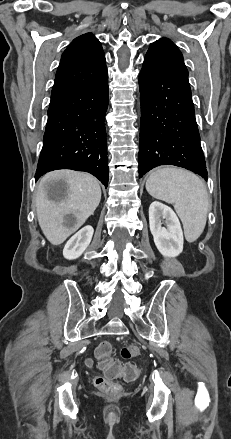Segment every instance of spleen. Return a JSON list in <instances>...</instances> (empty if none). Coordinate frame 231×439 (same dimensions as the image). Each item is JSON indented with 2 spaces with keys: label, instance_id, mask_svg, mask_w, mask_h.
Here are the masks:
<instances>
[{
  "label": "spleen",
  "instance_id": "3e777b00",
  "mask_svg": "<svg viewBox=\"0 0 231 439\" xmlns=\"http://www.w3.org/2000/svg\"><path fill=\"white\" fill-rule=\"evenodd\" d=\"M146 190L154 198L174 204L187 241L197 240L205 228L209 204L206 187L198 176L182 169H157L148 177Z\"/></svg>",
  "mask_w": 231,
  "mask_h": 439
}]
</instances>
